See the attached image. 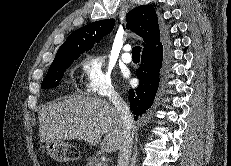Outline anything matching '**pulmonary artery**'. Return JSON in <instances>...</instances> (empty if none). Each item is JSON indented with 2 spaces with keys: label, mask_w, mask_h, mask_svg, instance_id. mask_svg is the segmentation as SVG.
Segmentation results:
<instances>
[{
  "label": "pulmonary artery",
  "mask_w": 231,
  "mask_h": 166,
  "mask_svg": "<svg viewBox=\"0 0 231 166\" xmlns=\"http://www.w3.org/2000/svg\"><path fill=\"white\" fill-rule=\"evenodd\" d=\"M130 51H131V46L125 45L124 46V52L121 56V59L124 63H127V64L131 63L132 57H131Z\"/></svg>",
  "instance_id": "obj_1"
}]
</instances>
